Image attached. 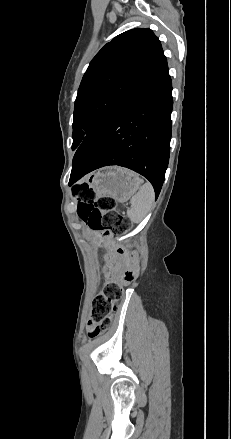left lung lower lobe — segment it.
I'll use <instances>...</instances> for the list:
<instances>
[{
	"label": "left lung lower lobe",
	"mask_w": 231,
	"mask_h": 439,
	"mask_svg": "<svg viewBox=\"0 0 231 439\" xmlns=\"http://www.w3.org/2000/svg\"><path fill=\"white\" fill-rule=\"evenodd\" d=\"M172 82L167 60L138 82L87 135L73 158L70 181L108 165L146 177L158 197L169 161Z\"/></svg>",
	"instance_id": "0a47b994"
}]
</instances>
